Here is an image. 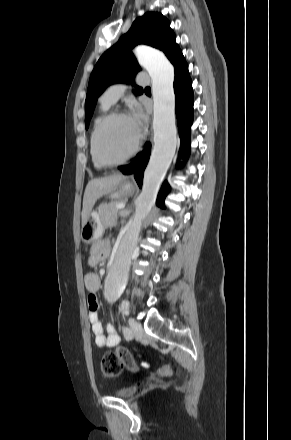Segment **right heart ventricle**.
<instances>
[{"instance_id": "right-heart-ventricle-1", "label": "right heart ventricle", "mask_w": 291, "mask_h": 440, "mask_svg": "<svg viewBox=\"0 0 291 440\" xmlns=\"http://www.w3.org/2000/svg\"><path fill=\"white\" fill-rule=\"evenodd\" d=\"M108 108H109V106L102 103L101 111H100L99 115L94 120L93 129H92L91 135H90V153L92 156V161L96 167H103V165L98 162V160L96 159V157L94 155V134H95V130H96L99 122L105 116Z\"/></svg>"}]
</instances>
